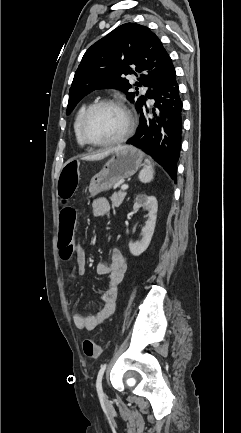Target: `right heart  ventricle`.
Here are the masks:
<instances>
[{
    "mask_svg": "<svg viewBox=\"0 0 241 433\" xmlns=\"http://www.w3.org/2000/svg\"><path fill=\"white\" fill-rule=\"evenodd\" d=\"M89 104H83L80 106V108L78 109L76 115H75V119H74V124H73V128H74V135H75V139L76 142L79 146H85V142L83 141L81 134H80V121L81 118L85 112V110L88 108Z\"/></svg>",
    "mask_w": 241,
    "mask_h": 433,
    "instance_id": "1",
    "label": "right heart ventricle"
}]
</instances>
